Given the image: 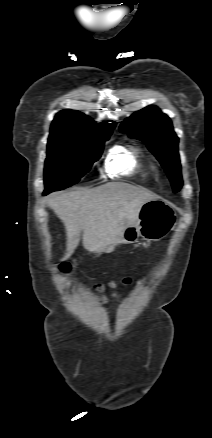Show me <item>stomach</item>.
I'll use <instances>...</instances> for the list:
<instances>
[{
  "mask_svg": "<svg viewBox=\"0 0 212 438\" xmlns=\"http://www.w3.org/2000/svg\"><path fill=\"white\" fill-rule=\"evenodd\" d=\"M174 210L162 200H150L140 209L137 220L127 226L119 244L134 243L138 237L147 242L165 238L176 226Z\"/></svg>",
  "mask_w": 212,
  "mask_h": 438,
  "instance_id": "0dacf381",
  "label": "stomach"
}]
</instances>
